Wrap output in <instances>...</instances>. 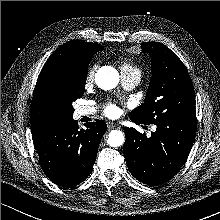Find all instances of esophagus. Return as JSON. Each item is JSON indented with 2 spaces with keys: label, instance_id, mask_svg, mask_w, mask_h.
<instances>
[{
  "label": "esophagus",
  "instance_id": "34e87169",
  "mask_svg": "<svg viewBox=\"0 0 220 220\" xmlns=\"http://www.w3.org/2000/svg\"><path fill=\"white\" fill-rule=\"evenodd\" d=\"M107 126H108L109 129H112V128L116 127L117 124L114 123V122H110V121H109V122H107Z\"/></svg>",
  "mask_w": 220,
  "mask_h": 220
}]
</instances>
